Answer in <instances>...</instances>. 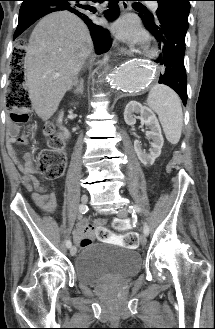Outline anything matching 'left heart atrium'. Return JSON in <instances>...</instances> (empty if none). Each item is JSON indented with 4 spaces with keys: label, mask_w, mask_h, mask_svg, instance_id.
<instances>
[{
    "label": "left heart atrium",
    "mask_w": 215,
    "mask_h": 329,
    "mask_svg": "<svg viewBox=\"0 0 215 329\" xmlns=\"http://www.w3.org/2000/svg\"><path fill=\"white\" fill-rule=\"evenodd\" d=\"M113 31L122 40L142 44L147 37L133 16H125L113 24Z\"/></svg>",
    "instance_id": "left-heart-atrium-1"
}]
</instances>
